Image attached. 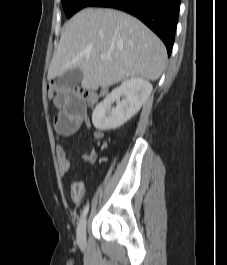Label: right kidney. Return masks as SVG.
<instances>
[{
  "mask_svg": "<svg viewBox=\"0 0 227 265\" xmlns=\"http://www.w3.org/2000/svg\"><path fill=\"white\" fill-rule=\"evenodd\" d=\"M152 91V85L143 78H130L115 88L93 111L92 123L98 130L107 131L122 126L131 119L146 102ZM126 98L120 101V97ZM116 108L110 113L111 104Z\"/></svg>",
  "mask_w": 227,
  "mask_h": 265,
  "instance_id": "right-kidney-1",
  "label": "right kidney"
}]
</instances>
